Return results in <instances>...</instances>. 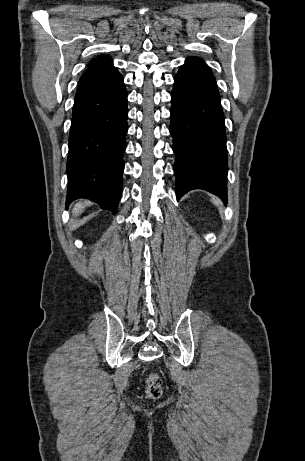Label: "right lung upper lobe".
Segmentation results:
<instances>
[{
	"instance_id": "1",
	"label": "right lung upper lobe",
	"mask_w": 305,
	"mask_h": 461,
	"mask_svg": "<svg viewBox=\"0 0 305 461\" xmlns=\"http://www.w3.org/2000/svg\"><path fill=\"white\" fill-rule=\"evenodd\" d=\"M118 72L113 66V61L108 56H100L94 59L89 65L87 71L83 74L80 82L105 79Z\"/></svg>"
}]
</instances>
